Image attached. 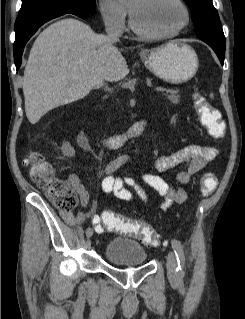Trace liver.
I'll list each match as a JSON object with an SVG mask.
<instances>
[{
	"label": "liver",
	"mask_w": 245,
	"mask_h": 319,
	"mask_svg": "<svg viewBox=\"0 0 245 319\" xmlns=\"http://www.w3.org/2000/svg\"><path fill=\"white\" fill-rule=\"evenodd\" d=\"M105 35L73 18L56 21L35 40L24 70L25 112L31 124L48 111L77 101L103 81L128 73L120 50Z\"/></svg>",
	"instance_id": "liver-1"
}]
</instances>
